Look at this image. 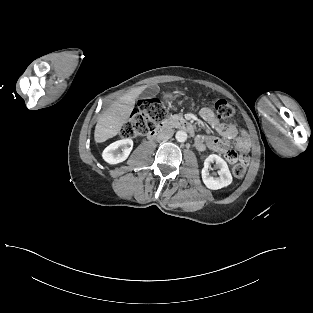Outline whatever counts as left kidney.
Masks as SVG:
<instances>
[{
	"label": "left kidney",
	"instance_id": "1",
	"mask_svg": "<svg viewBox=\"0 0 313 313\" xmlns=\"http://www.w3.org/2000/svg\"><path fill=\"white\" fill-rule=\"evenodd\" d=\"M214 162L220 169L218 172L219 177H213L209 174V165ZM202 180L206 187L212 190H218L230 185L232 183V175L225 160L216 154L209 155L204 161Z\"/></svg>",
	"mask_w": 313,
	"mask_h": 313
}]
</instances>
